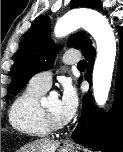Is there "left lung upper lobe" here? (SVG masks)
<instances>
[{
    "label": "left lung upper lobe",
    "mask_w": 123,
    "mask_h": 152,
    "mask_svg": "<svg viewBox=\"0 0 123 152\" xmlns=\"http://www.w3.org/2000/svg\"><path fill=\"white\" fill-rule=\"evenodd\" d=\"M88 7L102 10L99 0H71L70 8ZM90 40L78 32L69 39L68 46H74L81 51ZM59 48L50 37V19L47 16L37 17L27 32L12 68L11 91L18 94L28 80L41 71L50 69Z\"/></svg>",
    "instance_id": "obj_1"
}]
</instances>
